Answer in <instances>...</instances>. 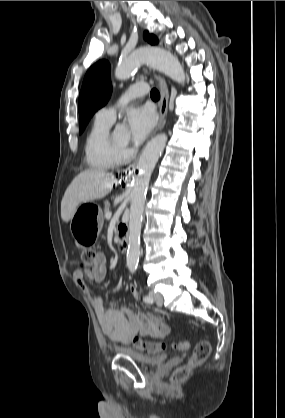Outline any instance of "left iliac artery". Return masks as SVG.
<instances>
[{
    "instance_id": "1",
    "label": "left iliac artery",
    "mask_w": 285,
    "mask_h": 418,
    "mask_svg": "<svg viewBox=\"0 0 285 418\" xmlns=\"http://www.w3.org/2000/svg\"><path fill=\"white\" fill-rule=\"evenodd\" d=\"M133 272H134V270H133ZM143 301L145 303L151 304L153 302V299L150 296H144Z\"/></svg>"
}]
</instances>
